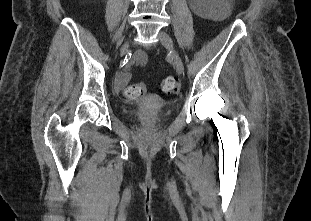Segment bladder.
I'll return each mask as SVG.
<instances>
[{
  "mask_svg": "<svg viewBox=\"0 0 311 221\" xmlns=\"http://www.w3.org/2000/svg\"><path fill=\"white\" fill-rule=\"evenodd\" d=\"M154 98L151 95H144L143 100L138 104L137 108L139 110L145 111L148 115L147 118L142 119L135 117L134 121L138 124H144L147 127L160 126L164 124L166 117L162 113H157L156 110L159 107L154 105Z\"/></svg>",
  "mask_w": 311,
  "mask_h": 221,
  "instance_id": "bladder-1",
  "label": "bladder"
}]
</instances>
